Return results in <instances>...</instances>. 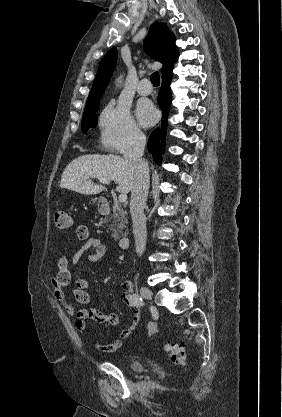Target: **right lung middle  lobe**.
Masks as SVG:
<instances>
[{"label":"right lung middle lobe","mask_w":282,"mask_h":417,"mask_svg":"<svg viewBox=\"0 0 282 417\" xmlns=\"http://www.w3.org/2000/svg\"><path fill=\"white\" fill-rule=\"evenodd\" d=\"M102 95L103 94L88 97L82 119L83 132H86L89 128L95 127L97 125L96 112L98 110Z\"/></svg>","instance_id":"1"}]
</instances>
